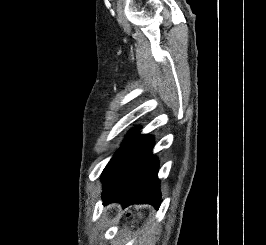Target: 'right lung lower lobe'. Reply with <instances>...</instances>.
I'll return each instance as SVG.
<instances>
[{
  "mask_svg": "<svg viewBox=\"0 0 266 245\" xmlns=\"http://www.w3.org/2000/svg\"><path fill=\"white\" fill-rule=\"evenodd\" d=\"M153 144L152 137L135 134L116 152L102 173L104 204H151L158 209L161 193Z\"/></svg>",
  "mask_w": 266,
  "mask_h": 245,
  "instance_id": "obj_1",
  "label": "right lung lower lobe"
}]
</instances>
